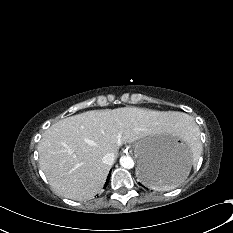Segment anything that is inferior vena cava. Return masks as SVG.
<instances>
[{
    "label": "inferior vena cava",
    "instance_id": "obj_1",
    "mask_svg": "<svg viewBox=\"0 0 233 233\" xmlns=\"http://www.w3.org/2000/svg\"><path fill=\"white\" fill-rule=\"evenodd\" d=\"M115 155L114 153H107L104 155L102 161L104 164L111 166L114 163Z\"/></svg>",
    "mask_w": 233,
    "mask_h": 233
}]
</instances>
